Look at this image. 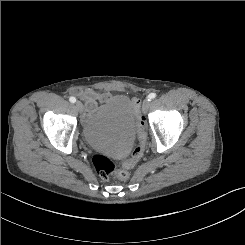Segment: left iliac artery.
Segmentation results:
<instances>
[{"label":"left iliac artery","mask_w":245,"mask_h":245,"mask_svg":"<svg viewBox=\"0 0 245 245\" xmlns=\"http://www.w3.org/2000/svg\"><path fill=\"white\" fill-rule=\"evenodd\" d=\"M147 98L149 101H151L152 99L156 98V93H150Z\"/></svg>","instance_id":"left-iliac-artery-1"}]
</instances>
